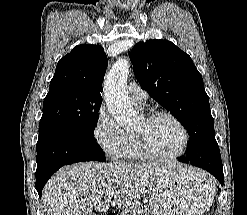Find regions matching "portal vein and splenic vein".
I'll list each match as a JSON object with an SVG mask.
<instances>
[{
  "label": "portal vein and splenic vein",
  "instance_id": "1",
  "mask_svg": "<svg viewBox=\"0 0 247 215\" xmlns=\"http://www.w3.org/2000/svg\"><path fill=\"white\" fill-rule=\"evenodd\" d=\"M115 192L113 190H110L106 193V196L108 199L112 198L114 196Z\"/></svg>",
  "mask_w": 247,
  "mask_h": 215
}]
</instances>
